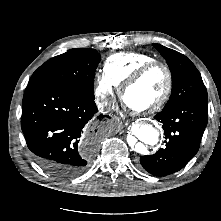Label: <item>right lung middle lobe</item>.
I'll return each instance as SVG.
<instances>
[{
    "label": "right lung middle lobe",
    "mask_w": 221,
    "mask_h": 221,
    "mask_svg": "<svg viewBox=\"0 0 221 221\" xmlns=\"http://www.w3.org/2000/svg\"><path fill=\"white\" fill-rule=\"evenodd\" d=\"M100 59L95 49H70L40 66L28 84L37 80L46 81L94 99V77Z\"/></svg>",
    "instance_id": "obj_1"
}]
</instances>
